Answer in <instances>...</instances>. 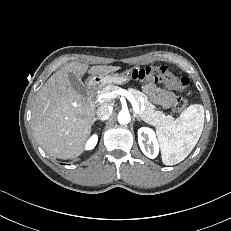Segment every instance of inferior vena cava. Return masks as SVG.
<instances>
[{
	"label": "inferior vena cava",
	"mask_w": 231,
	"mask_h": 231,
	"mask_svg": "<svg viewBox=\"0 0 231 231\" xmlns=\"http://www.w3.org/2000/svg\"><path fill=\"white\" fill-rule=\"evenodd\" d=\"M112 114V108L108 105H101L96 111L97 118L99 120H107Z\"/></svg>",
	"instance_id": "obj_1"
}]
</instances>
